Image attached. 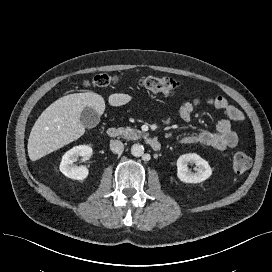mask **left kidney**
<instances>
[{
  "label": "left kidney",
  "instance_id": "1",
  "mask_svg": "<svg viewBox=\"0 0 272 272\" xmlns=\"http://www.w3.org/2000/svg\"><path fill=\"white\" fill-rule=\"evenodd\" d=\"M188 163L197 166L196 172L188 169ZM212 175V169L208 162L196 153L181 155L177 160V176L184 183H200Z\"/></svg>",
  "mask_w": 272,
  "mask_h": 272
}]
</instances>
